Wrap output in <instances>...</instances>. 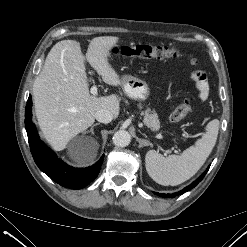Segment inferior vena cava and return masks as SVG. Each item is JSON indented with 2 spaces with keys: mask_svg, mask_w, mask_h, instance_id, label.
I'll list each match as a JSON object with an SVG mask.
<instances>
[{
  "mask_svg": "<svg viewBox=\"0 0 247 247\" xmlns=\"http://www.w3.org/2000/svg\"><path fill=\"white\" fill-rule=\"evenodd\" d=\"M95 118L97 121L106 124L110 123L113 120V114L106 109H100L96 111Z\"/></svg>",
  "mask_w": 247,
  "mask_h": 247,
  "instance_id": "1",
  "label": "inferior vena cava"
}]
</instances>
